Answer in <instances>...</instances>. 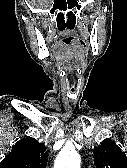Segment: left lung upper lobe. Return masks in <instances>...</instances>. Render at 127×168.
<instances>
[{
  "label": "left lung upper lobe",
  "mask_w": 127,
  "mask_h": 168,
  "mask_svg": "<svg viewBox=\"0 0 127 168\" xmlns=\"http://www.w3.org/2000/svg\"><path fill=\"white\" fill-rule=\"evenodd\" d=\"M93 154L96 168H127L126 155L112 140H104Z\"/></svg>",
  "instance_id": "5c2ea615"
}]
</instances>
